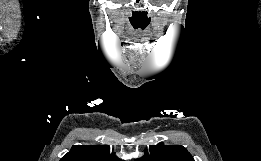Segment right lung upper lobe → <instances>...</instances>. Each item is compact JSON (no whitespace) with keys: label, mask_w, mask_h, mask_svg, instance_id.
Returning <instances> with one entry per match:
<instances>
[{"label":"right lung upper lobe","mask_w":261,"mask_h":161,"mask_svg":"<svg viewBox=\"0 0 261 161\" xmlns=\"http://www.w3.org/2000/svg\"><path fill=\"white\" fill-rule=\"evenodd\" d=\"M60 161H122L110 155L108 145H74Z\"/></svg>","instance_id":"cb5924a9"}]
</instances>
